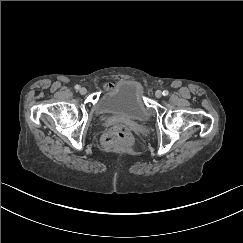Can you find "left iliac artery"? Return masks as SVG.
Masks as SVG:
<instances>
[{
  "mask_svg": "<svg viewBox=\"0 0 243 243\" xmlns=\"http://www.w3.org/2000/svg\"><path fill=\"white\" fill-rule=\"evenodd\" d=\"M168 94H169V92H168L167 90H164V91H163V95H164V96H167Z\"/></svg>",
  "mask_w": 243,
  "mask_h": 243,
  "instance_id": "1",
  "label": "left iliac artery"
}]
</instances>
